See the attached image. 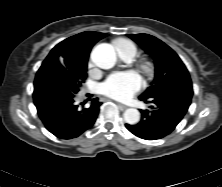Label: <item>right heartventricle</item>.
Returning <instances> with one entry per match:
<instances>
[{
    "instance_id": "1",
    "label": "right heart ventricle",
    "mask_w": 222,
    "mask_h": 187,
    "mask_svg": "<svg viewBox=\"0 0 222 187\" xmlns=\"http://www.w3.org/2000/svg\"><path fill=\"white\" fill-rule=\"evenodd\" d=\"M117 47L120 51V53L126 51V50H131L132 52H134V54L136 53V47L135 45L127 40H121L117 42Z\"/></svg>"
}]
</instances>
